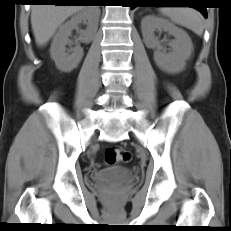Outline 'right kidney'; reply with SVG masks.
I'll list each match as a JSON object with an SVG mask.
<instances>
[{"label": "right kidney", "mask_w": 231, "mask_h": 231, "mask_svg": "<svg viewBox=\"0 0 231 231\" xmlns=\"http://www.w3.org/2000/svg\"><path fill=\"white\" fill-rule=\"evenodd\" d=\"M99 15L100 11L98 8H85L59 28L50 48L51 57L58 69L70 72L77 67L83 57V49L77 44L74 48L67 50L66 45L72 43L69 40V36L72 30L83 22L87 25V28L81 32L79 40L85 43L92 41L98 29Z\"/></svg>", "instance_id": "obj_1"}]
</instances>
